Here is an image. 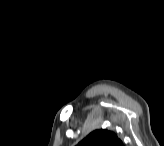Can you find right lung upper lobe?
<instances>
[{
	"label": "right lung upper lobe",
	"mask_w": 164,
	"mask_h": 146,
	"mask_svg": "<svg viewBox=\"0 0 164 146\" xmlns=\"http://www.w3.org/2000/svg\"><path fill=\"white\" fill-rule=\"evenodd\" d=\"M79 146H123L122 141L108 130H95L84 138Z\"/></svg>",
	"instance_id": "obj_1"
}]
</instances>
